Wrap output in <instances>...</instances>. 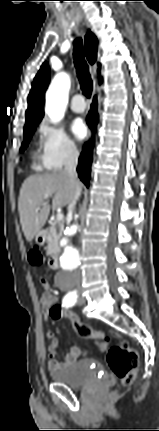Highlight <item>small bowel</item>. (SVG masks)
Instances as JSON below:
<instances>
[{
  "label": "small bowel",
  "instance_id": "c3829d8e",
  "mask_svg": "<svg viewBox=\"0 0 159 431\" xmlns=\"http://www.w3.org/2000/svg\"><path fill=\"white\" fill-rule=\"evenodd\" d=\"M41 285L44 289V293L42 294V297H41V306L45 317L48 318V317H51L52 310L47 307L46 298L50 295H53L56 298V301H58V298L52 292L51 286L46 279H41ZM53 306H52V309H53ZM77 312L79 313V311ZM48 338H49V344L47 347L46 355L48 357V367L51 370L68 367L74 362H76L81 355H85L88 352L87 349H82L77 346H72L68 351V353L66 354L65 358L62 361H58L56 359L58 339L53 333H49Z\"/></svg>",
  "mask_w": 159,
  "mask_h": 431
}]
</instances>
